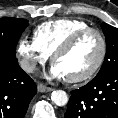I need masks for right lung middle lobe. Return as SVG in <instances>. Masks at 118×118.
<instances>
[{
  "label": "right lung middle lobe",
  "mask_w": 118,
  "mask_h": 118,
  "mask_svg": "<svg viewBox=\"0 0 118 118\" xmlns=\"http://www.w3.org/2000/svg\"><path fill=\"white\" fill-rule=\"evenodd\" d=\"M28 25L25 19L0 18V57H16V45Z\"/></svg>",
  "instance_id": "1"
}]
</instances>
